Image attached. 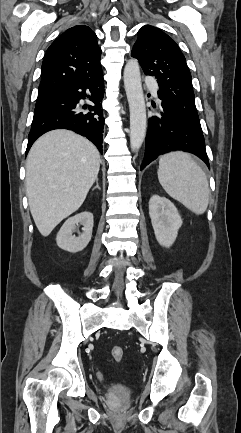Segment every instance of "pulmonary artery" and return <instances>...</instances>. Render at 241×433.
Returning <instances> with one entry per match:
<instances>
[{
    "instance_id": "obj_1",
    "label": "pulmonary artery",
    "mask_w": 241,
    "mask_h": 433,
    "mask_svg": "<svg viewBox=\"0 0 241 433\" xmlns=\"http://www.w3.org/2000/svg\"><path fill=\"white\" fill-rule=\"evenodd\" d=\"M147 82H148V83H152V82H153V80H152V79H150V78H148V79H147ZM154 91L156 92V91H157V89L155 88V89H154Z\"/></svg>"
}]
</instances>
